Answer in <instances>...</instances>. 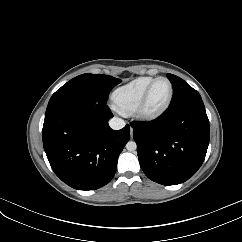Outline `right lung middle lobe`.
I'll return each mask as SVG.
<instances>
[{"mask_svg": "<svg viewBox=\"0 0 242 242\" xmlns=\"http://www.w3.org/2000/svg\"><path fill=\"white\" fill-rule=\"evenodd\" d=\"M120 82L121 80L112 76L90 73L79 75L71 79L52 95L47 108L60 101L80 97L106 102L111 90Z\"/></svg>", "mask_w": 242, "mask_h": 242, "instance_id": "dd1d6c3e", "label": "right lung middle lobe"}]
</instances>
